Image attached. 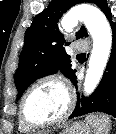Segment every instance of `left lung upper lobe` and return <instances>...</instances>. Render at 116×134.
Wrapping results in <instances>:
<instances>
[{
    "instance_id": "5c2ea615",
    "label": "left lung upper lobe",
    "mask_w": 116,
    "mask_h": 134,
    "mask_svg": "<svg viewBox=\"0 0 116 134\" xmlns=\"http://www.w3.org/2000/svg\"><path fill=\"white\" fill-rule=\"evenodd\" d=\"M83 0H52L48 7L39 13L26 30L19 66L15 74L18 98L37 79L58 71L72 80L76 70L71 68L70 56L65 51L64 36L58 30V21L72 6ZM96 4L105 14L108 10L106 0H88ZM77 39L88 37L85 27L76 33Z\"/></svg>"
}]
</instances>
